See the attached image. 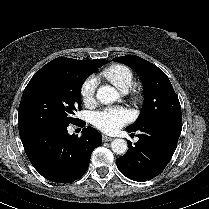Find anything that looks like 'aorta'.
<instances>
[{
	"mask_svg": "<svg viewBox=\"0 0 209 209\" xmlns=\"http://www.w3.org/2000/svg\"><path fill=\"white\" fill-rule=\"evenodd\" d=\"M97 99L103 104L115 102L119 98V94L112 86L105 85L97 90ZM112 151L118 155L126 153L128 149L127 141L124 139H114L111 142Z\"/></svg>",
	"mask_w": 209,
	"mask_h": 209,
	"instance_id": "aorta-1",
	"label": "aorta"
}]
</instances>
